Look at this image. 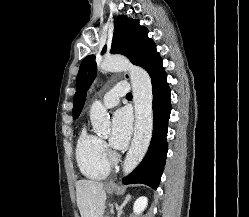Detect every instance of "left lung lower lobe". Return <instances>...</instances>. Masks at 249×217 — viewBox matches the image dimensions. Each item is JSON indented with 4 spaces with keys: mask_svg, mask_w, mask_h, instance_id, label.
<instances>
[{
    "mask_svg": "<svg viewBox=\"0 0 249 217\" xmlns=\"http://www.w3.org/2000/svg\"><path fill=\"white\" fill-rule=\"evenodd\" d=\"M153 87V133L149 149L123 184L143 183L157 189L167 155V128L171 112L170 88L162 61L149 73Z\"/></svg>",
    "mask_w": 249,
    "mask_h": 217,
    "instance_id": "obj_1",
    "label": "left lung lower lobe"
}]
</instances>
